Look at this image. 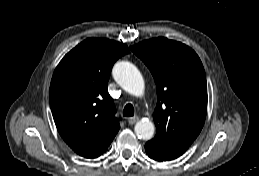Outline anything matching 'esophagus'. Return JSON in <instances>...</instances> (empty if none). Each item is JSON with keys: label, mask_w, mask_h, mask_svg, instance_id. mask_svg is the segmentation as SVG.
Here are the masks:
<instances>
[{"label": "esophagus", "mask_w": 259, "mask_h": 176, "mask_svg": "<svg viewBox=\"0 0 259 176\" xmlns=\"http://www.w3.org/2000/svg\"><path fill=\"white\" fill-rule=\"evenodd\" d=\"M138 120H139V117H138V116L130 117V118L128 119V123H129L130 125H133V124H135Z\"/></svg>", "instance_id": "34e87169"}]
</instances>
